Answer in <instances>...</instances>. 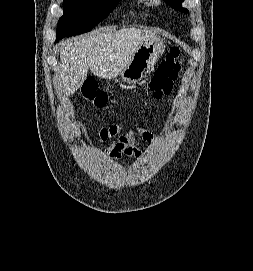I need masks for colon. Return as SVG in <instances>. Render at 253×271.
<instances>
[{"label": "colon", "instance_id": "5ec220e1", "mask_svg": "<svg viewBox=\"0 0 253 271\" xmlns=\"http://www.w3.org/2000/svg\"><path fill=\"white\" fill-rule=\"evenodd\" d=\"M179 54V49L172 47L152 75L148 91L155 99H160L171 92L181 68ZM81 89L83 98L87 102L95 106L106 105L107 95L98 89L97 83L92 78H87Z\"/></svg>", "mask_w": 253, "mask_h": 271}]
</instances>
